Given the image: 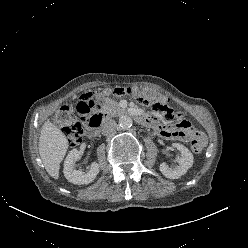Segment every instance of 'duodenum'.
<instances>
[{"mask_svg":"<svg viewBox=\"0 0 248 248\" xmlns=\"http://www.w3.org/2000/svg\"><path fill=\"white\" fill-rule=\"evenodd\" d=\"M115 113L117 114H125V115H130L132 116L135 120H137L140 123H143L145 125H152V119L148 118L142 114H140L139 112L136 111H132V110H127V109H117L115 111ZM112 114L110 115H97L94 116L91 121L89 126L87 127V135L89 137H94L97 135V133L99 132V129L101 127V125L108 120L111 117Z\"/></svg>","mask_w":248,"mask_h":248,"instance_id":"obj_1","label":"duodenum"}]
</instances>
